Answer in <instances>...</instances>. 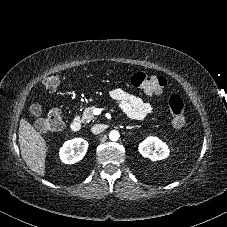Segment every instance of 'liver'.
<instances>
[{
    "instance_id": "obj_1",
    "label": "liver",
    "mask_w": 227,
    "mask_h": 227,
    "mask_svg": "<svg viewBox=\"0 0 227 227\" xmlns=\"http://www.w3.org/2000/svg\"><path fill=\"white\" fill-rule=\"evenodd\" d=\"M19 145L26 165L39 176L45 175L47 146L44 138L24 118L20 120Z\"/></svg>"
}]
</instances>
